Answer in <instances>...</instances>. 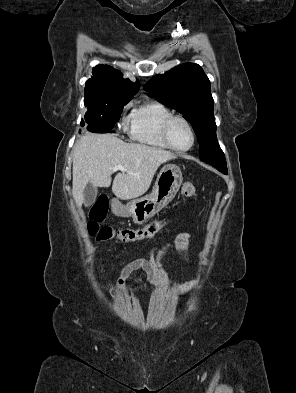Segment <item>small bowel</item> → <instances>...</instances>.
<instances>
[{"instance_id":"1","label":"small bowel","mask_w":296,"mask_h":393,"mask_svg":"<svg viewBox=\"0 0 296 393\" xmlns=\"http://www.w3.org/2000/svg\"><path fill=\"white\" fill-rule=\"evenodd\" d=\"M190 234L182 232L176 235L171 242H166L163 245L151 250L148 257H138L130 260L121 269L118 283L123 286L126 279L135 271H143L149 283L157 289H165L168 286L167 273L162 264V258L165 253L172 247L176 248L183 260L190 262L191 256L189 253ZM115 265L110 267V271H114ZM191 283L179 285L177 290L185 292L190 289Z\"/></svg>"}]
</instances>
